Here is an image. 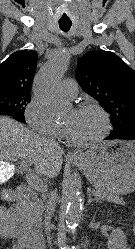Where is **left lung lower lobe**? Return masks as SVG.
Listing matches in <instances>:
<instances>
[{
	"mask_svg": "<svg viewBox=\"0 0 135 249\" xmlns=\"http://www.w3.org/2000/svg\"><path fill=\"white\" fill-rule=\"evenodd\" d=\"M106 140L111 139H127V140H135V120L131 121V125L128 129L124 131H115L105 138Z\"/></svg>",
	"mask_w": 135,
	"mask_h": 249,
	"instance_id": "1",
	"label": "left lung lower lobe"
}]
</instances>
